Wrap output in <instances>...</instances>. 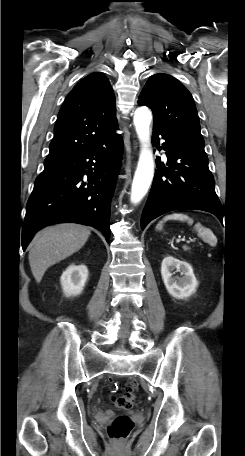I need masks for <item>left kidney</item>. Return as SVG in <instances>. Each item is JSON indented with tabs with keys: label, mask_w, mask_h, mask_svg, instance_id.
Wrapping results in <instances>:
<instances>
[{
	"label": "left kidney",
	"mask_w": 245,
	"mask_h": 456,
	"mask_svg": "<svg viewBox=\"0 0 245 456\" xmlns=\"http://www.w3.org/2000/svg\"><path fill=\"white\" fill-rule=\"evenodd\" d=\"M180 272L182 277L173 276V271ZM161 275L168 293L176 299H186L195 293L198 281L192 267L184 261L167 256L161 264Z\"/></svg>",
	"instance_id": "obj_1"
}]
</instances>
